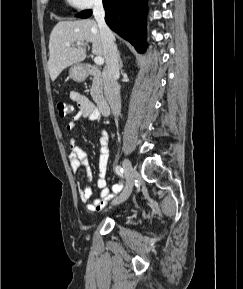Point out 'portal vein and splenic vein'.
I'll return each instance as SVG.
<instances>
[{
	"label": "portal vein and splenic vein",
	"instance_id": "portal-vein-and-splenic-vein-1",
	"mask_svg": "<svg viewBox=\"0 0 243 289\" xmlns=\"http://www.w3.org/2000/svg\"><path fill=\"white\" fill-rule=\"evenodd\" d=\"M70 45H71L70 43H66V46H70ZM76 45H78V46H84V43H82V42H77ZM94 62H95L96 65H103V63H104V58L101 57V56H96V57L94 58Z\"/></svg>",
	"mask_w": 243,
	"mask_h": 289
}]
</instances>
